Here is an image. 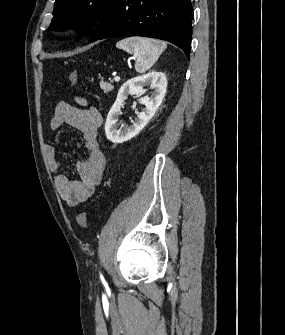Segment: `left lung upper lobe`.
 Returning <instances> with one entry per match:
<instances>
[{
    "label": "left lung upper lobe",
    "mask_w": 285,
    "mask_h": 335,
    "mask_svg": "<svg viewBox=\"0 0 285 335\" xmlns=\"http://www.w3.org/2000/svg\"><path fill=\"white\" fill-rule=\"evenodd\" d=\"M114 0H56L50 28L63 31L76 27L79 37L98 23Z\"/></svg>",
    "instance_id": "left-lung-upper-lobe-1"
}]
</instances>
